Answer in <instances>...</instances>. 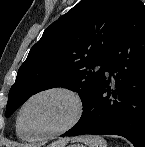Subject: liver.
<instances>
[{
	"mask_svg": "<svg viewBox=\"0 0 145 147\" xmlns=\"http://www.w3.org/2000/svg\"><path fill=\"white\" fill-rule=\"evenodd\" d=\"M68 140L67 139H63L60 141H57L51 145H49L48 147H65V145L67 144Z\"/></svg>",
	"mask_w": 145,
	"mask_h": 147,
	"instance_id": "obj_1",
	"label": "liver"
}]
</instances>
